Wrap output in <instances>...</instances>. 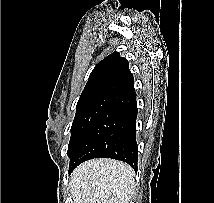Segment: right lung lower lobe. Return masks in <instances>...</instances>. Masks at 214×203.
<instances>
[{
    "label": "right lung lower lobe",
    "instance_id": "98d812e1",
    "mask_svg": "<svg viewBox=\"0 0 214 203\" xmlns=\"http://www.w3.org/2000/svg\"><path fill=\"white\" fill-rule=\"evenodd\" d=\"M135 90L117 97L95 120L70 156L69 174L93 158H113L137 171Z\"/></svg>",
    "mask_w": 214,
    "mask_h": 203
}]
</instances>
